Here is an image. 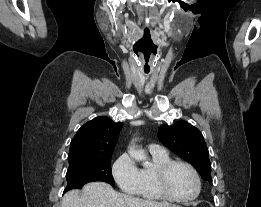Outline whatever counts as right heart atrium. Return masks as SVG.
<instances>
[{
    "instance_id": "right-heart-atrium-1",
    "label": "right heart atrium",
    "mask_w": 261,
    "mask_h": 207,
    "mask_svg": "<svg viewBox=\"0 0 261 207\" xmlns=\"http://www.w3.org/2000/svg\"><path fill=\"white\" fill-rule=\"evenodd\" d=\"M112 175L123 192L130 195L138 193L141 181L139 169L128 154L124 153L116 159Z\"/></svg>"
}]
</instances>
